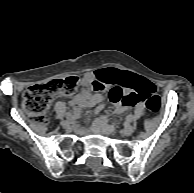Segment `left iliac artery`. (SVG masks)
<instances>
[{
	"label": "left iliac artery",
	"mask_w": 194,
	"mask_h": 193,
	"mask_svg": "<svg viewBox=\"0 0 194 193\" xmlns=\"http://www.w3.org/2000/svg\"><path fill=\"white\" fill-rule=\"evenodd\" d=\"M127 121L131 122L133 120V116L132 115H128L126 118Z\"/></svg>",
	"instance_id": "44dca946"
}]
</instances>
